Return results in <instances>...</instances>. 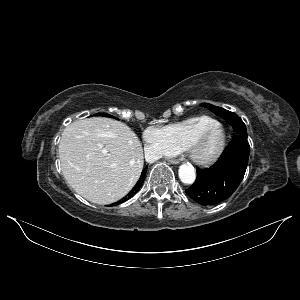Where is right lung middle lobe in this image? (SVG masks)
Wrapping results in <instances>:
<instances>
[{
    "label": "right lung middle lobe",
    "instance_id": "dd1d6c3e",
    "mask_svg": "<svg viewBox=\"0 0 300 300\" xmlns=\"http://www.w3.org/2000/svg\"><path fill=\"white\" fill-rule=\"evenodd\" d=\"M97 115H99V116H106V117H113V116H111V115H109V114H105V113H98ZM114 118V117H113Z\"/></svg>",
    "mask_w": 300,
    "mask_h": 300
}]
</instances>
